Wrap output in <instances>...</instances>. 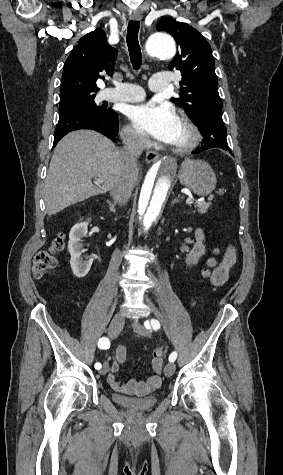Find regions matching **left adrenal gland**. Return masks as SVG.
I'll return each instance as SVG.
<instances>
[{
    "mask_svg": "<svg viewBox=\"0 0 283 475\" xmlns=\"http://www.w3.org/2000/svg\"><path fill=\"white\" fill-rule=\"evenodd\" d=\"M179 198V196H178ZM178 198H174L173 202H171V206H173V204H177V202H179Z\"/></svg>",
    "mask_w": 283,
    "mask_h": 475,
    "instance_id": "a2214340",
    "label": "left adrenal gland"
}]
</instances>
